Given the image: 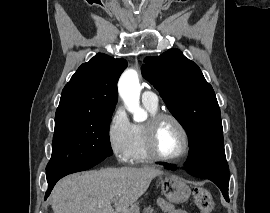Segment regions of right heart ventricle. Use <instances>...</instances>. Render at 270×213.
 <instances>
[{
    "label": "right heart ventricle",
    "mask_w": 270,
    "mask_h": 213,
    "mask_svg": "<svg viewBox=\"0 0 270 213\" xmlns=\"http://www.w3.org/2000/svg\"><path fill=\"white\" fill-rule=\"evenodd\" d=\"M145 109L151 114L158 111V106L153 107L143 102ZM152 158L149 156L144 142V124L134 123L131 126V143L128 152V161L130 163H147Z\"/></svg>",
    "instance_id": "right-heart-ventricle-1"
}]
</instances>
